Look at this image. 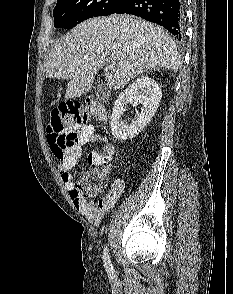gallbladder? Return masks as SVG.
I'll list each match as a JSON object with an SVG mask.
<instances>
[{
	"instance_id": "1",
	"label": "gallbladder",
	"mask_w": 233,
	"mask_h": 294,
	"mask_svg": "<svg viewBox=\"0 0 233 294\" xmlns=\"http://www.w3.org/2000/svg\"><path fill=\"white\" fill-rule=\"evenodd\" d=\"M96 96L99 100H105L108 98L109 96V89L105 86H99L98 87V90H97V93H96Z\"/></svg>"
}]
</instances>
